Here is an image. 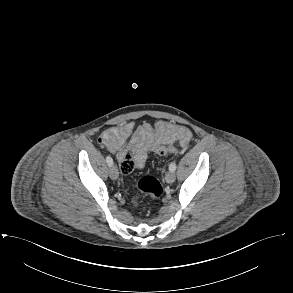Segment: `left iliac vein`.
<instances>
[{
    "instance_id": "obj_1",
    "label": "left iliac vein",
    "mask_w": 293,
    "mask_h": 293,
    "mask_svg": "<svg viewBox=\"0 0 293 293\" xmlns=\"http://www.w3.org/2000/svg\"><path fill=\"white\" fill-rule=\"evenodd\" d=\"M175 178H176L175 173L172 171H169L165 174V180L169 184L173 183L175 181Z\"/></svg>"
}]
</instances>
